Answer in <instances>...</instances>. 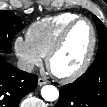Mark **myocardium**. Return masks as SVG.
Listing matches in <instances>:
<instances>
[{
    "instance_id": "myocardium-1",
    "label": "myocardium",
    "mask_w": 107,
    "mask_h": 107,
    "mask_svg": "<svg viewBox=\"0 0 107 107\" xmlns=\"http://www.w3.org/2000/svg\"><path fill=\"white\" fill-rule=\"evenodd\" d=\"M80 22H85L89 25L90 30H91V44L89 47V51L86 55V58L84 59L83 63L79 66L78 69H76L75 71H73L70 74L67 75H59L57 73H55L52 70L51 67V63L53 58L60 52V50L63 48L70 32L72 31V29L79 24ZM96 43H97V35H96V30L94 25L92 24V22L84 17H78L77 19L73 20L72 22H70L61 32L60 36L58 37V39L56 40V42L54 43V45L51 47V49L49 50L47 56H46V65L48 70L61 82L64 83H68V82H72L76 79H78L80 76H82L87 69L89 68L94 53H95V48H96Z\"/></svg>"
}]
</instances>
